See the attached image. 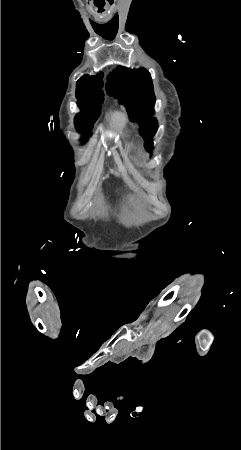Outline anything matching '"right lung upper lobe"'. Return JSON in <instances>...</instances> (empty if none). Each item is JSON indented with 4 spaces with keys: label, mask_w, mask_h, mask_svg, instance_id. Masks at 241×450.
Returning a JSON list of instances; mask_svg holds the SVG:
<instances>
[{
    "label": "right lung upper lobe",
    "mask_w": 241,
    "mask_h": 450,
    "mask_svg": "<svg viewBox=\"0 0 241 450\" xmlns=\"http://www.w3.org/2000/svg\"><path fill=\"white\" fill-rule=\"evenodd\" d=\"M95 77H97V78H99L101 81H102V78H103V73H99L97 76H95ZM103 82V81H102Z\"/></svg>",
    "instance_id": "cb5924a9"
}]
</instances>
